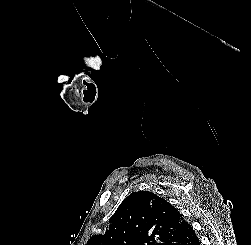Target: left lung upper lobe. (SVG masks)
<instances>
[{"mask_svg":"<svg viewBox=\"0 0 251 245\" xmlns=\"http://www.w3.org/2000/svg\"><path fill=\"white\" fill-rule=\"evenodd\" d=\"M109 221L105 234L92 236L86 245H169L188 224L175 207L149 191L131 193Z\"/></svg>","mask_w":251,"mask_h":245,"instance_id":"obj_1","label":"left lung upper lobe"}]
</instances>
